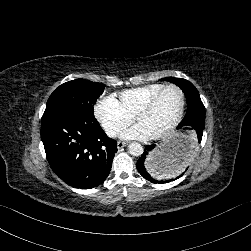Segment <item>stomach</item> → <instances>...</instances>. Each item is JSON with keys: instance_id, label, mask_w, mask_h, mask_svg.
Returning a JSON list of instances; mask_svg holds the SVG:
<instances>
[{"instance_id": "1", "label": "stomach", "mask_w": 251, "mask_h": 251, "mask_svg": "<svg viewBox=\"0 0 251 251\" xmlns=\"http://www.w3.org/2000/svg\"><path fill=\"white\" fill-rule=\"evenodd\" d=\"M159 153L148 155L146 166L151 171L165 173L178 168L192 150V137L186 133H176L167 140L163 147H158ZM157 149L155 152L158 151Z\"/></svg>"}]
</instances>
